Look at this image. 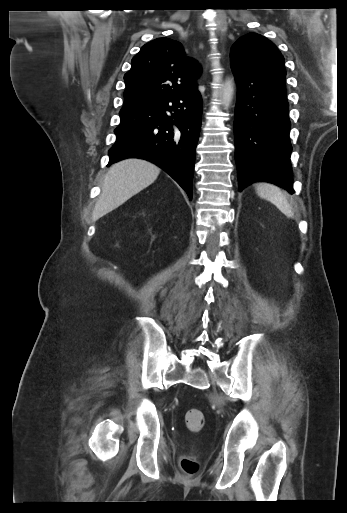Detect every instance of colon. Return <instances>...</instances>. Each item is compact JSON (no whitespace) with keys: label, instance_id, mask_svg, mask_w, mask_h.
Masks as SVG:
<instances>
[{"label":"colon","instance_id":"obj_1","mask_svg":"<svg viewBox=\"0 0 347 513\" xmlns=\"http://www.w3.org/2000/svg\"><path fill=\"white\" fill-rule=\"evenodd\" d=\"M185 422L191 431L198 432L204 427V415L198 409H189L185 414ZM180 467L184 475L193 477L198 473L199 463L195 456L184 455L180 459Z\"/></svg>","mask_w":347,"mask_h":513}]
</instances>
